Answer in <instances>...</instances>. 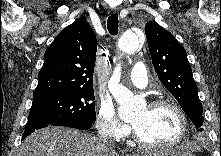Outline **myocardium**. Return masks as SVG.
<instances>
[{
	"mask_svg": "<svg viewBox=\"0 0 221 156\" xmlns=\"http://www.w3.org/2000/svg\"><path fill=\"white\" fill-rule=\"evenodd\" d=\"M148 106L152 109L163 107V106L172 108L176 112V114L178 115V118L180 120V125H181L180 132L177 135V137L175 139H173L172 141H170L168 143H164V144H157V143L148 142L145 139H143L141 137V135L139 134L137 128L132 124L134 140L140 146L150 148V149H168V148L174 147V146L178 145L180 142H182L183 139L186 137V135L188 133V129H189L188 118L186 116V113L182 109V107L177 102H175L171 99H156V100H153L152 102H150Z\"/></svg>",
	"mask_w": 221,
	"mask_h": 156,
	"instance_id": "1",
	"label": "myocardium"
}]
</instances>
